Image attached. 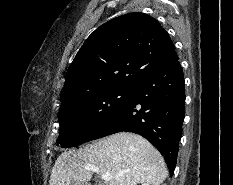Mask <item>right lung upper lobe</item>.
<instances>
[{
	"label": "right lung upper lobe",
	"instance_id": "cb5924a9",
	"mask_svg": "<svg viewBox=\"0 0 233 185\" xmlns=\"http://www.w3.org/2000/svg\"><path fill=\"white\" fill-rule=\"evenodd\" d=\"M178 56L168 33L145 13H128L97 28L71 63L61 107L107 89H128Z\"/></svg>",
	"mask_w": 233,
	"mask_h": 185
}]
</instances>
